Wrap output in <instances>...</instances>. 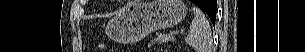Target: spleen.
<instances>
[{"label": "spleen", "instance_id": "3e777b00", "mask_svg": "<svg viewBox=\"0 0 305 52\" xmlns=\"http://www.w3.org/2000/svg\"><path fill=\"white\" fill-rule=\"evenodd\" d=\"M192 11L194 18L185 41L196 52H212L213 44L209 22L199 8L193 7Z\"/></svg>", "mask_w": 305, "mask_h": 52}]
</instances>
